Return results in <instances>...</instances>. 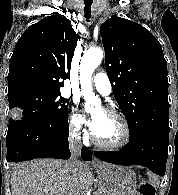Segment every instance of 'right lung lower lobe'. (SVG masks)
I'll list each match as a JSON object with an SVG mask.
<instances>
[{
  "label": "right lung lower lobe",
  "mask_w": 178,
  "mask_h": 195,
  "mask_svg": "<svg viewBox=\"0 0 178 195\" xmlns=\"http://www.w3.org/2000/svg\"><path fill=\"white\" fill-rule=\"evenodd\" d=\"M68 117L53 120L22 118L9 121L6 136L7 162L35 158L68 159ZM83 160L92 159L91 151L83 147Z\"/></svg>",
  "instance_id": "right-lung-lower-lobe-1"
}]
</instances>
